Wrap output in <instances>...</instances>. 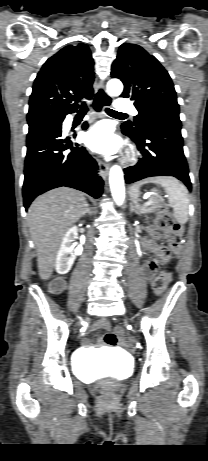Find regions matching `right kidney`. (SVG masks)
I'll return each mask as SVG.
<instances>
[{
    "mask_svg": "<svg viewBox=\"0 0 208 461\" xmlns=\"http://www.w3.org/2000/svg\"><path fill=\"white\" fill-rule=\"evenodd\" d=\"M77 238V227L70 228L63 237L61 246L56 257V271L58 274H66L70 271L77 255L83 251L82 245L73 248V242Z\"/></svg>",
    "mask_w": 208,
    "mask_h": 461,
    "instance_id": "right-kidney-1",
    "label": "right kidney"
}]
</instances>
